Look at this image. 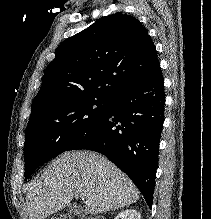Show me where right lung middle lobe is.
Listing matches in <instances>:
<instances>
[{
  "label": "right lung middle lobe",
  "mask_w": 211,
  "mask_h": 219,
  "mask_svg": "<svg viewBox=\"0 0 211 219\" xmlns=\"http://www.w3.org/2000/svg\"><path fill=\"white\" fill-rule=\"evenodd\" d=\"M109 103V99L83 98L30 119L25 132V178L89 132L105 115Z\"/></svg>",
  "instance_id": "dd1d6c3e"
}]
</instances>
